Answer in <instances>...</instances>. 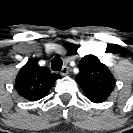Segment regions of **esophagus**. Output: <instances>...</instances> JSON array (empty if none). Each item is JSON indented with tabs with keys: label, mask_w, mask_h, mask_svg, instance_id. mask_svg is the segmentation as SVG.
<instances>
[{
	"label": "esophagus",
	"mask_w": 133,
	"mask_h": 133,
	"mask_svg": "<svg viewBox=\"0 0 133 133\" xmlns=\"http://www.w3.org/2000/svg\"><path fill=\"white\" fill-rule=\"evenodd\" d=\"M69 72V68L67 66H64L61 70V75L66 76Z\"/></svg>",
	"instance_id": "esophagus-1"
}]
</instances>
